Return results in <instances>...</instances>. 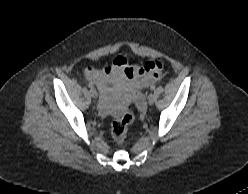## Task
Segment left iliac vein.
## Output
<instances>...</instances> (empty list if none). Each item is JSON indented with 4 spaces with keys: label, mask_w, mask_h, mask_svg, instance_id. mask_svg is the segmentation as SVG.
<instances>
[{
    "label": "left iliac vein",
    "mask_w": 248,
    "mask_h": 194,
    "mask_svg": "<svg viewBox=\"0 0 248 194\" xmlns=\"http://www.w3.org/2000/svg\"><path fill=\"white\" fill-rule=\"evenodd\" d=\"M155 100H156V96L154 94H152V93L149 94V96H148V103L150 105H152L155 102Z\"/></svg>",
    "instance_id": "obj_1"
}]
</instances>
